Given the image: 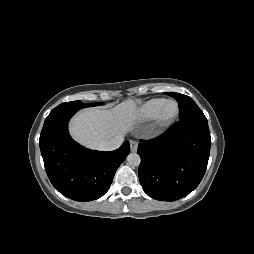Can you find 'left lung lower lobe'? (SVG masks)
<instances>
[{
    "label": "left lung lower lobe",
    "mask_w": 254,
    "mask_h": 254,
    "mask_svg": "<svg viewBox=\"0 0 254 254\" xmlns=\"http://www.w3.org/2000/svg\"><path fill=\"white\" fill-rule=\"evenodd\" d=\"M211 146L207 120H180L163 135L140 140L139 179L150 197L175 201L201 182Z\"/></svg>",
    "instance_id": "0a47b994"
}]
</instances>
